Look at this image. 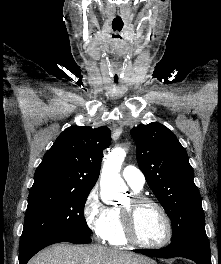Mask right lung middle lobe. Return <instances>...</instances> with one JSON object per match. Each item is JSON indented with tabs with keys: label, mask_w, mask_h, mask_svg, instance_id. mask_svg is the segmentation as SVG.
<instances>
[{
	"label": "right lung middle lobe",
	"mask_w": 221,
	"mask_h": 264,
	"mask_svg": "<svg viewBox=\"0 0 221 264\" xmlns=\"http://www.w3.org/2000/svg\"><path fill=\"white\" fill-rule=\"evenodd\" d=\"M90 190L30 191L19 249L39 240L90 237L84 206Z\"/></svg>",
	"instance_id": "dd1d6c3e"
}]
</instances>
